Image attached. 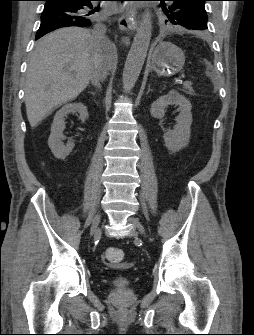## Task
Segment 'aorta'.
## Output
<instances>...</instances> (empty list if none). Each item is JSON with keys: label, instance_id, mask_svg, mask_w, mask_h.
<instances>
[{"label": "aorta", "instance_id": "obj_1", "mask_svg": "<svg viewBox=\"0 0 254 335\" xmlns=\"http://www.w3.org/2000/svg\"><path fill=\"white\" fill-rule=\"evenodd\" d=\"M151 35V11L146 9L142 15V20L136 31L123 69V91L126 94L131 92L140 75L147 55Z\"/></svg>", "mask_w": 254, "mask_h": 335}]
</instances>
